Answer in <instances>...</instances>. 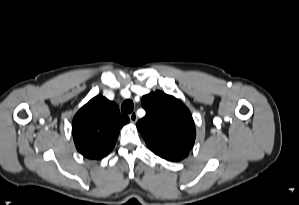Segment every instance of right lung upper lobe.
I'll return each mask as SVG.
<instances>
[{
	"label": "right lung upper lobe",
	"instance_id": "obj_1",
	"mask_svg": "<svg viewBox=\"0 0 299 205\" xmlns=\"http://www.w3.org/2000/svg\"><path fill=\"white\" fill-rule=\"evenodd\" d=\"M128 122L116 103L97 95L73 119L75 146L84 157L101 159L114 148L120 129Z\"/></svg>",
	"mask_w": 299,
	"mask_h": 205
}]
</instances>
